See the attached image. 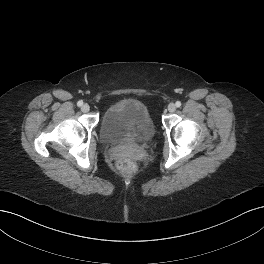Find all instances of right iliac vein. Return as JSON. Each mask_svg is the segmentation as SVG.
I'll use <instances>...</instances> for the list:
<instances>
[{"mask_svg":"<svg viewBox=\"0 0 264 264\" xmlns=\"http://www.w3.org/2000/svg\"><path fill=\"white\" fill-rule=\"evenodd\" d=\"M81 110L83 111V112H88L89 110H90V107H89V105L88 104H84L82 107H81Z\"/></svg>","mask_w":264,"mask_h":264,"instance_id":"63e3f726","label":"right iliac vein"}]
</instances>
